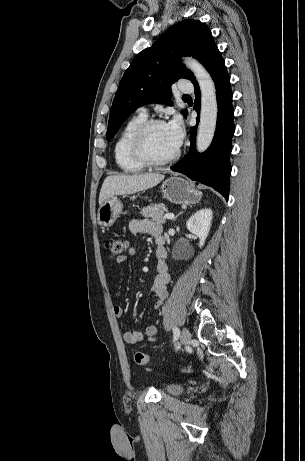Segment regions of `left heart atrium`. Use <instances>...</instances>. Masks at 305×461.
<instances>
[{
  "label": "left heart atrium",
  "mask_w": 305,
  "mask_h": 461,
  "mask_svg": "<svg viewBox=\"0 0 305 461\" xmlns=\"http://www.w3.org/2000/svg\"><path fill=\"white\" fill-rule=\"evenodd\" d=\"M168 136L172 144L178 149L184 138V129L179 117H174L166 124Z\"/></svg>",
  "instance_id": "obj_1"
}]
</instances>
